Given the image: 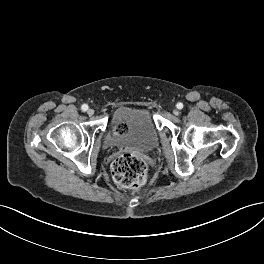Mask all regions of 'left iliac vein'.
Masks as SVG:
<instances>
[{"instance_id": "1", "label": "left iliac vein", "mask_w": 264, "mask_h": 264, "mask_svg": "<svg viewBox=\"0 0 264 264\" xmlns=\"http://www.w3.org/2000/svg\"><path fill=\"white\" fill-rule=\"evenodd\" d=\"M173 114L176 115V116H178L180 114V111L177 110V109H175V110H173Z\"/></svg>"}]
</instances>
